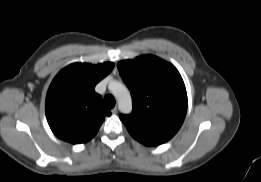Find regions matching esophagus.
<instances>
[{
    "label": "esophagus",
    "instance_id": "1",
    "mask_svg": "<svg viewBox=\"0 0 261 182\" xmlns=\"http://www.w3.org/2000/svg\"><path fill=\"white\" fill-rule=\"evenodd\" d=\"M111 112H112V114H117V112H118L117 107H114V108L111 110Z\"/></svg>",
    "mask_w": 261,
    "mask_h": 182
}]
</instances>
